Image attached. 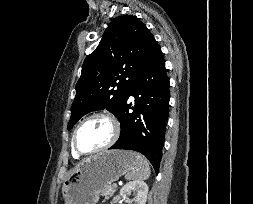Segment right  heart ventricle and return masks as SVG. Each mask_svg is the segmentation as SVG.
Segmentation results:
<instances>
[{"label": "right heart ventricle", "mask_w": 253, "mask_h": 204, "mask_svg": "<svg viewBox=\"0 0 253 204\" xmlns=\"http://www.w3.org/2000/svg\"><path fill=\"white\" fill-rule=\"evenodd\" d=\"M72 155H73V157L76 158V159L79 158V156H78L74 151H72Z\"/></svg>", "instance_id": "obj_1"}]
</instances>
